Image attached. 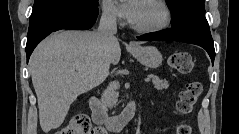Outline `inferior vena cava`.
I'll return each mask as SVG.
<instances>
[{"label":"inferior vena cava","instance_id":"1","mask_svg":"<svg viewBox=\"0 0 239 134\" xmlns=\"http://www.w3.org/2000/svg\"><path fill=\"white\" fill-rule=\"evenodd\" d=\"M97 32L105 45H109L116 39L114 36L117 32L116 15L111 9L105 8L103 10ZM109 66L110 63L108 61L102 60L100 62L98 69L103 78L108 76Z\"/></svg>","mask_w":239,"mask_h":134}]
</instances>
